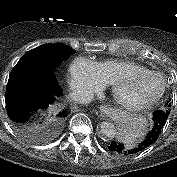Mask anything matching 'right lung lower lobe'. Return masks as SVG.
<instances>
[{"label": "right lung lower lobe", "instance_id": "obj_1", "mask_svg": "<svg viewBox=\"0 0 177 177\" xmlns=\"http://www.w3.org/2000/svg\"><path fill=\"white\" fill-rule=\"evenodd\" d=\"M62 95L56 79L55 68L34 59L20 60L9 76L6 91V109L17 126L31 122L36 113L54 111L53 124L65 119L68 111H57L58 98Z\"/></svg>", "mask_w": 177, "mask_h": 177}]
</instances>
